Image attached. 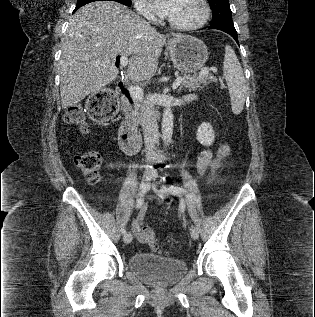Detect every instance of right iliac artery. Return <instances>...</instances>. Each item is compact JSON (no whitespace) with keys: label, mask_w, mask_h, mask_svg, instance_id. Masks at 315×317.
Returning a JSON list of instances; mask_svg holds the SVG:
<instances>
[{"label":"right iliac artery","mask_w":315,"mask_h":317,"mask_svg":"<svg viewBox=\"0 0 315 317\" xmlns=\"http://www.w3.org/2000/svg\"><path fill=\"white\" fill-rule=\"evenodd\" d=\"M143 203H144V197H143V194L140 193L139 197L137 198L136 208L139 209L142 206ZM122 234L123 235L126 234V229L125 228L122 229Z\"/></svg>","instance_id":"1"}]
</instances>
